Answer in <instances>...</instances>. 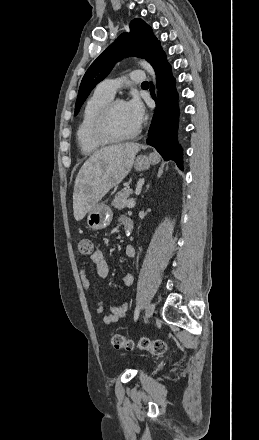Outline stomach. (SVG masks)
Returning <instances> with one entry per match:
<instances>
[{
	"label": "stomach",
	"instance_id": "1",
	"mask_svg": "<svg viewBox=\"0 0 259 440\" xmlns=\"http://www.w3.org/2000/svg\"><path fill=\"white\" fill-rule=\"evenodd\" d=\"M159 162V157L155 153H151L149 156L140 155L134 161V168L137 171L147 170L150 165H154ZM113 218V212L111 208L104 204L99 203L92 207L87 216V225L92 230H102L107 228Z\"/></svg>",
	"mask_w": 259,
	"mask_h": 440
}]
</instances>
